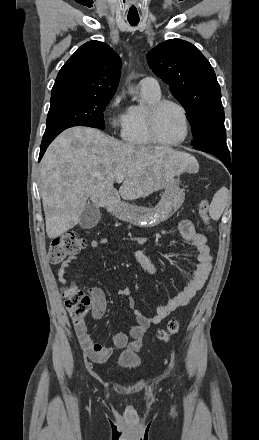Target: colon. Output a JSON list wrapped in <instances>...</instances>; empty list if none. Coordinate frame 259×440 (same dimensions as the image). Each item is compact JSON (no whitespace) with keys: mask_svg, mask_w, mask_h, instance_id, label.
I'll use <instances>...</instances> for the list:
<instances>
[{"mask_svg":"<svg viewBox=\"0 0 259 440\" xmlns=\"http://www.w3.org/2000/svg\"><path fill=\"white\" fill-rule=\"evenodd\" d=\"M199 215L202 220L209 224V202L203 199L198 207ZM86 245L85 239L75 232H66L60 237L56 238L49 249V261L53 264H58L71 256L80 253ZM65 305L69 311L74 324L84 322V318L88 311L95 304V298L91 292L88 293L71 287L64 292ZM179 330V323L176 320H171L165 330L158 333V338L162 341H168L170 337L176 334Z\"/></svg>","mask_w":259,"mask_h":440,"instance_id":"1","label":"colon"}]
</instances>
